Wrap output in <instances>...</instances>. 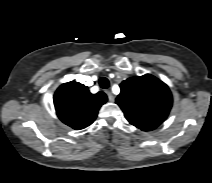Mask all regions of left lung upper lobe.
Here are the masks:
<instances>
[{
	"instance_id": "5c2ea615",
	"label": "left lung upper lobe",
	"mask_w": 212,
	"mask_h": 183,
	"mask_svg": "<svg viewBox=\"0 0 212 183\" xmlns=\"http://www.w3.org/2000/svg\"><path fill=\"white\" fill-rule=\"evenodd\" d=\"M120 88L116 103L132 125L150 131L167 118L172 107V95L161 80L146 74L128 78Z\"/></svg>"
}]
</instances>
